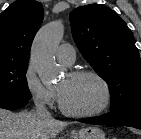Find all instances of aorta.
<instances>
[{
    "mask_svg": "<svg viewBox=\"0 0 141 139\" xmlns=\"http://www.w3.org/2000/svg\"><path fill=\"white\" fill-rule=\"evenodd\" d=\"M63 35V22L56 20L43 26L34 39L31 61L45 85L50 84L59 75V70L55 65V50Z\"/></svg>",
    "mask_w": 141,
    "mask_h": 139,
    "instance_id": "obj_1",
    "label": "aorta"
}]
</instances>
